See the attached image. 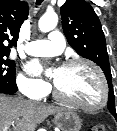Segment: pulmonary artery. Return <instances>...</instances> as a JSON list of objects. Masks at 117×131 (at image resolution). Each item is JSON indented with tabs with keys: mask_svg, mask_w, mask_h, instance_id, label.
<instances>
[{
	"mask_svg": "<svg viewBox=\"0 0 117 131\" xmlns=\"http://www.w3.org/2000/svg\"><path fill=\"white\" fill-rule=\"evenodd\" d=\"M65 40L61 32L52 31L47 39L34 40L25 46L28 54L34 56H54L63 51Z\"/></svg>",
	"mask_w": 117,
	"mask_h": 131,
	"instance_id": "pulmonary-artery-1",
	"label": "pulmonary artery"
}]
</instances>
